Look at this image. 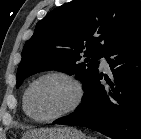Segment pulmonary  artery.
Here are the masks:
<instances>
[{"instance_id": "obj_1", "label": "pulmonary artery", "mask_w": 141, "mask_h": 139, "mask_svg": "<svg viewBox=\"0 0 141 139\" xmlns=\"http://www.w3.org/2000/svg\"><path fill=\"white\" fill-rule=\"evenodd\" d=\"M100 63H101V66H102L103 68H105V69H108V68H109L108 62H107V60H106L105 57H102V58L100 59Z\"/></svg>"}]
</instances>
